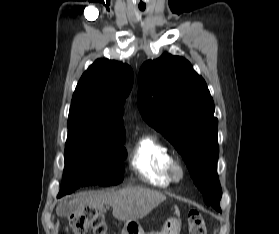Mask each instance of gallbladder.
I'll list each match as a JSON object with an SVG mask.
<instances>
[{"label": "gallbladder", "mask_w": 279, "mask_h": 234, "mask_svg": "<svg viewBox=\"0 0 279 234\" xmlns=\"http://www.w3.org/2000/svg\"><path fill=\"white\" fill-rule=\"evenodd\" d=\"M80 211V207L76 206V205H66L64 207H61L59 210V214L62 217H68L73 213L79 212Z\"/></svg>", "instance_id": "1"}]
</instances>
